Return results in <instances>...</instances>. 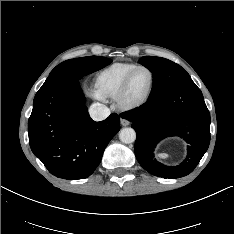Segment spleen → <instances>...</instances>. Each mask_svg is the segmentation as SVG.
<instances>
[{
	"instance_id": "obj_1",
	"label": "spleen",
	"mask_w": 234,
	"mask_h": 234,
	"mask_svg": "<svg viewBox=\"0 0 234 234\" xmlns=\"http://www.w3.org/2000/svg\"><path fill=\"white\" fill-rule=\"evenodd\" d=\"M157 157H158L159 159L165 160V159H168V158H169V155L166 154V153H159V154H157Z\"/></svg>"
}]
</instances>
